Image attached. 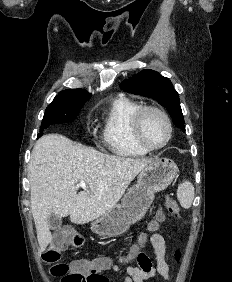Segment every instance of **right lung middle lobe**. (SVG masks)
Listing matches in <instances>:
<instances>
[{"label": "right lung middle lobe", "instance_id": "dd1d6c3e", "mask_svg": "<svg viewBox=\"0 0 232 282\" xmlns=\"http://www.w3.org/2000/svg\"><path fill=\"white\" fill-rule=\"evenodd\" d=\"M88 99L89 98L66 101H53L46 108L42 120V125L40 127V133H38V137L43 134V129H46L52 124L72 122L75 117L79 114L81 108Z\"/></svg>", "mask_w": 232, "mask_h": 282}]
</instances>
